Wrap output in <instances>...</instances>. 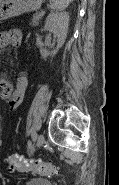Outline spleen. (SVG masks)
Here are the masks:
<instances>
[{
	"mask_svg": "<svg viewBox=\"0 0 119 185\" xmlns=\"http://www.w3.org/2000/svg\"><path fill=\"white\" fill-rule=\"evenodd\" d=\"M73 0H50V9L54 11H62L68 7Z\"/></svg>",
	"mask_w": 119,
	"mask_h": 185,
	"instance_id": "obj_1",
	"label": "spleen"
}]
</instances>
